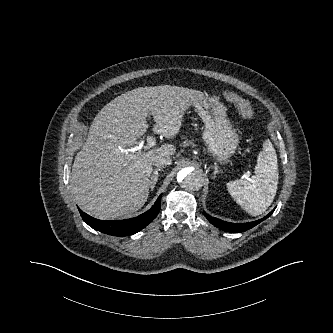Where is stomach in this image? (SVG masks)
<instances>
[{
    "instance_id": "obj_1",
    "label": "stomach",
    "mask_w": 333,
    "mask_h": 333,
    "mask_svg": "<svg viewBox=\"0 0 333 333\" xmlns=\"http://www.w3.org/2000/svg\"><path fill=\"white\" fill-rule=\"evenodd\" d=\"M194 106L205 125L202 138L208 151L220 162H227L238 147L239 137L226 107L216 96H203Z\"/></svg>"
}]
</instances>
